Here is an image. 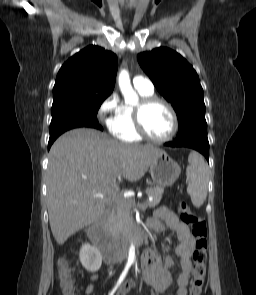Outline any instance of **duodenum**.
I'll use <instances>...</instances> for the list:
<instances>
[{"mask_svg":"<svg viewBox=\"0 0 256 295\" xmlns=\"http://www.w3.org/2000/svg\"><path fill=\"white\" fill-rule=\"evenodd\" d=\"M108 217L106 214L100 216L92 223L87 235L93 244L100 250L103 260L107 264L115 263L126 257L131 246H138L144 243L147 238L146 229L142 226H137L132 229L126 240L115 244L106 234Z\"/></svg>","mask_w":256,"mask_h":295,"instance_id":"1","label":"duodenum"}]
</instances>
